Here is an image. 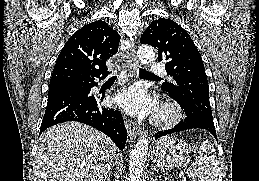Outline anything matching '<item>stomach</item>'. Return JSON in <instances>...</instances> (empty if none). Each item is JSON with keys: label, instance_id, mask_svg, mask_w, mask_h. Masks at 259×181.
Segmentation results:
<instances>
[{"label": "stomach", "instance_id": "0dacf381", "mask_svg": "<svg viewBox=\"0 0 259 181\" xmlns=\"http://www.w3.org/2000/svg\"><path fill=\"white\" fill-rule=\"evenodd\" d=\"M190 152L189 145L175 136L158 140L151 152L152 162L164 170L174 169L185 163Z\"/></svg>", "mask_w": 259, "mask_h": 181}]
</instances>
